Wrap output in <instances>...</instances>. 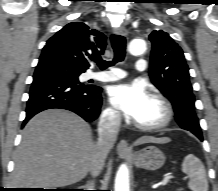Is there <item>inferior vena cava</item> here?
I'll return each instance as SVG.
<instances>
[{"label":"inferior vena cava","mask_w":218,"mask_h":191,"mask_svg":"<svg viewBox=\"0 0 218 191\" xmlns=\"http://www.w3.org/2000/svg\"><path fill=\"white\" fill-rule=\"evenodd\" d=\"M120 124L121 115L117 111H109L101 115L98 124L99 138L96 144V154L90 169L93 176H98L103 169L106 156L116 142Z\"/></svg>","instance_id":"1"}]
</instances>
